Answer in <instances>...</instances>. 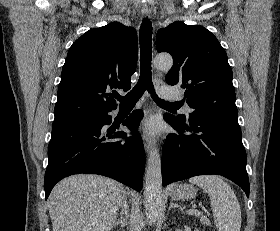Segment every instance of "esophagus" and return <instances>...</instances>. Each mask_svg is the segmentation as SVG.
<instances>
[{
  "mask_svg": "<svg viewBox=\"0 0 280 231\" xmlns=\"http://www.w3.org/2000/svg\"><path fill=\"white\" fill-rule=\"evenodd\" d=\"M141 14L143 17H151V8L148 6H142L141 8ZM143 144L144 148L147 154H150L152 148H153V141L150 136H148L146 133L143 134Z\"/></svg>",
  "mask_w": 280,
  "mask_h": 231,
  "instance_id": "esophagus-1",
  "label": "esophagus"
}]
</instances>
